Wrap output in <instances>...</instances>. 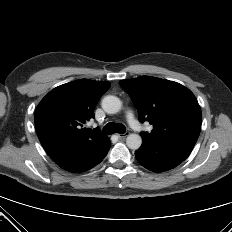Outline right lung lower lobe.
<instances>
[{"mask_svg":"<svg viewBox=\"0 0 232 232\" xmlns=\"http://www.w3.org/2000/svg\"><path fill=\"white\" fill-rule=\"evenodd\" d=\"M109 148H110V144L103 151L97 154H93L86 157L73 158L65 162H62L58 165L61 168L70 172H75V173L84 172L93 168L98 163H100L107 155Z\"/></svg>","mask_w":232,"mask_h":232,"instance_id":"obj_1","label":"right lung lower lobe"}]
</instances>
